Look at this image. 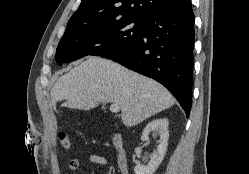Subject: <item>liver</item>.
<instances>
[{
	"label": "liver",
	"mask_w": 249,
	"mask_h": 174,
	"mask_svg": "<svg viewBox=\"0 0 249 174\" xmlns=\"http://www.w3.org/2000/svg\"><path fill=\"white\" fill-rule=\"evenodd\" d=\"M52 104L90 110L100 104L113 103L121 109L126 127L172 107L173 96L161 84L100 57H88L61 76L51 90Z\"/></svg>",
	"instance_id": "liver-1"
}]
</instances>
